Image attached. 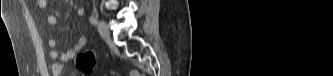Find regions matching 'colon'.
Wrapping results in <instances>:
<instances>
[{
	"label": "colon",
	"mask_w": 333,
	"mask_h": 76,
	"mask_svg": "<svg viewBox=\"0 0 333 76\" xmlns=\"http://www.w3.org/2000/svg\"><path fill=\"white\" fill-rule=\"evenodd\" d=\"M76 67L77 69L85 75H88L90 73H92V71L94 70L95 64H96V60H95V55L90 52H82L80 54H78L76 60ZM131 76H140V73L136 70H131L130 72Z\"/></svg>",
	"instance_id": "colon-1"
}]
</instances>
